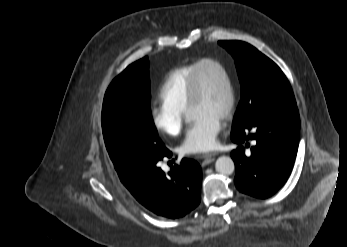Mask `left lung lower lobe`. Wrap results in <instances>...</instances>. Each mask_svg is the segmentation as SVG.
<instances>
[{
	"label": "left lung lower lobe",
	"instance_id": "obj_1",
	"mask_svg": "<svg viewBox=\"0 0 347 247\" xmlns=\"http://www.w3.org/2000/svg\"><path fill=\"white\" fill-rule=\"evenodd\" d=\"M300 119L296 106L275 107L252 119L245 127L232 130L234 143L244 146L231 152L235 163V185L239 191L267 198L288 179L297 154ZM250 143L252 144L250 146Z\"/></svg>",
	"mask_w": 347,
	"mask_h": 247
}]
</instances>
